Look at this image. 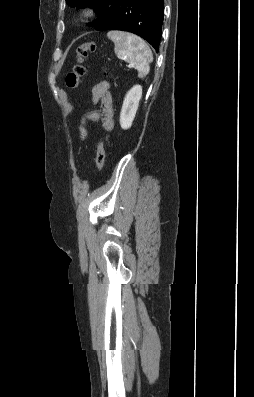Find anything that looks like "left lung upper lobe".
Masks as SVG:
<instances>
[{
    "label": "left lung upper lobe",
    "mask_w": 254,
    "mask_h": 397,
    "mask_svg": "<svg viewBox=\"0 0 254 397\" xmlns=\"http://www.w3.org/2000/svg\"><path fill=\"white\" fill-rule=\"evenodd\" d=\"M107 1L108 0H66L67 4L69 6L76 7L77 9L83 8L86 6H90L94 9H96L99 14L98 20L94 24H92V23L89 24L90 26H95V27L102 20V15L106 8Z\"/></svg>",
    "instance_id": "obj_1"
}]
</instances>
